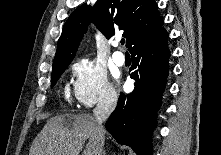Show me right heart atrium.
Listing matches in <instances>:
<instances>
[{
    "instance_id": "right-heart-atrium-1",
    "label": "right heart atrium",
    "mask_w": 221,
    "mask_h": 155,
    "mask_svg": "<svg viewBox=\"0 0 221 155\" xmlns=\"http://www.w3.org/2000/svg\"><path fill=\"white\" fill-rule=\"evenodd\" d=\"M74 96L85 109L94 106H112L118 96L104 69L88 59H80L72 65Z\"/></svg>"
}]
</instances>
